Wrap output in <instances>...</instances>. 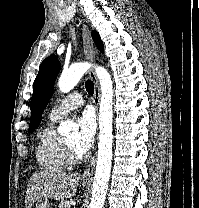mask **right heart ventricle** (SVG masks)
Wrapping results in <instances>:
<instances>
[{"label": "right heart ventricle", "mask_w": 199, "mask_h": 208, "mask_svg": "<svg viewBox=\"0 0 199 208\" xmlns=\"http://www.w3.org/2000/svg\"><path fill=\"white\" fill-rule=\"evenodd\" d=\"M58 118L50 117L38 134L36 159L46 171H62L68 166L65 141L56 130Z\"/></svg>", "instance_id": "obj_1"}]
</instances>
